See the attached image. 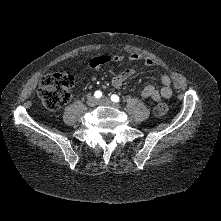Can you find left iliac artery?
I'll use <instances>...</instances> for the list:
<instances>
[{"label":"left iliac artery","instance_id":"1","mask_svg":"<svg viewBox=\"0 0 221 221\" xmlns=\"http://www.w3.org/2000/svg\"><path fill=\"white\" fill-rule=\"evenodd\" d=\"M111 100H112L113 102H119V101H120V98H119L117 95L113 94V95L111 96Z\"/></svg>","mask_w":221,"mask_h":221}]
</instances>
